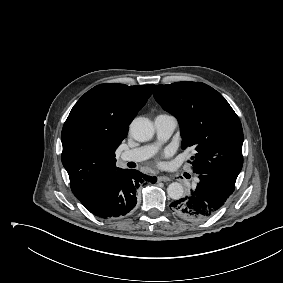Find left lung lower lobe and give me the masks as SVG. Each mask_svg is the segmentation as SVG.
<instances>
[{
  "mask_svg": "<svg viewBox=\"0 0 283 283\" xmlns=\"http://www.w3.org/2000/svg\"><path fill=\"white\" fill-rule=\"evenodd\" d=\"M195 189L170 204L172 212L187 221H203L213 216L233 193L235 183L225 178L198 174Z\"/></svg>",
  "mask_w": 283,
  "mask_h": 283,
  "instance_id": "1",
  "label": "left lung lower lobe"
}]
</instances>
